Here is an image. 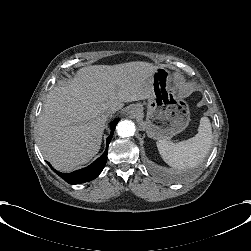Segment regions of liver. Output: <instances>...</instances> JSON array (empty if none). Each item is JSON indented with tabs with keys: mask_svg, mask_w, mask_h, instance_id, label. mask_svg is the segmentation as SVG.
Listing matches in <instances>:
<instances>
[{
	"mask_svg": "<svg viewBox=\"0 0 251 251\" xmlns=\"http://www.w3.org/2000/svg\"><path fill=\"white\" fill-rule=\"evenodd\" d=\"M154 70L155 65L147 61L95 64L59 82L38 118L43 157L62 173L88 164L100 150L113 111L152 95Z\"/></svg>",
	"mask_w": 251,
	"mask_h": 251,
	"instance_id": "liver-1",
	"label": "liver"
}]
</instances>
